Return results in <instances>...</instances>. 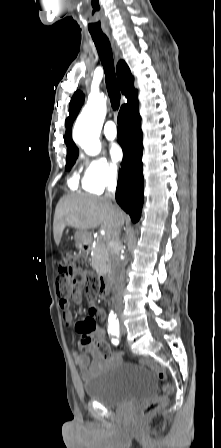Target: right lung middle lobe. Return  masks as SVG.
I'll use <instances>...</instances> for the list:
<instances>
[{"label": "right lung middle lobe", "mask_w": 221, "mask_h": 448, "mask_svg": "<svg viewBox=\"0 0 221 448\" xmlns=\"http://www.w3.org/2000/svg\"><path fill=\"white\" fill-rule=\"evenodd\" d=\"M78 157V153L67 155L66 158V170H70L71 166L75 163L76 159Z\"/></svg>", "instance_id": "obj_1"}]
</instances>
